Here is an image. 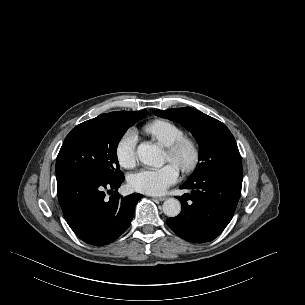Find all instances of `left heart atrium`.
I'll use <instances>...</instances> for the list:
<instances>
[{
  "mask_svg": "<svg viewBox=\"0 0 305 305\" xmlns=\"http://www.w3.org/2000/svg\"><path fill=\"white\" fill-rule=\"evenodd\" d=\"M179 179V170L174 163L161 168H146L133 175L129 179L133 190L149 195L163 194Z\"/></svg>",
  "mask_w": 305,
  "mask_h": 305,
  "instance_id": "obj_1",
  "label": "left heart atrium"
}]
</instances>
